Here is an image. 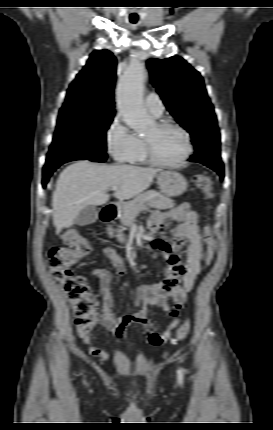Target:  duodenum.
<instances>
[{
  "mask_svg": "<svg viewBox=\"0 0 273 430\" xmlns=\"http://www.w3.org/2000/svg\"><path fill=\"white\" fill-rule=\"evenodd\" d=\"M118 208L115 204H107L101 211L100 220L103 224H108L116 219Z\"/></svg>",
  "mask_w": 273,
  "mask_h": 430,
  "instance_id": "1",
  "label": "duodenum"
}]
</instances>
